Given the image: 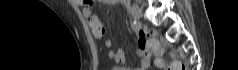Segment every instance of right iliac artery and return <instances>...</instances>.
<instances>
[{"instance_id": "82829eb1", "label": "right iliac artery", "mask_w": 238, "mask_h": 70, "mask_svg": "<svg viewBox=\"0 0 238 70\" xmlns=\"http://www.w3.org/2000/svg\"><path fill=\"white\" fill-rule=\"evenodd\" d=\"M131 27H132L133 30H137V29H139V23L136 20H134L131 23Z\"/></svg>"}]
</instances>
